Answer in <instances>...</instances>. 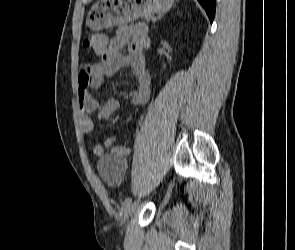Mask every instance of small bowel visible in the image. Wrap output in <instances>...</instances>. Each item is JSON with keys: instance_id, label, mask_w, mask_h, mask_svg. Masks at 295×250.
Masks as SVG:
<instances>
[{"instance_id": "small-bowel-1", "label": "small bowel", "mask_w": 295, "mask_h": 250, "mask_svg": "<svg viewBox=\"0 0 295 250\" xmlns=\"http://www.w3.org/2000/svg\"><path fill=\"white\" fill-rule=\"evenodd\" d=\"M104 47L97 51L101 57L98 63L83 62L80 65L78 77V99L80 108L81 125L84 133L90 134L94 129L91 115L94 113L100 119H109L120 107L114 98L100 101L90 91L97 89L103 83L106 76L121 69H129L136 79V85L131 91V102L135 106L144 105L150 96L151 77L147 72L143 51L149 44L145 27L131 25L119 28L115 35L107 41L105 37ZM128 45L127 54L122 49ZM104 146L112 148L119 155H126L129 150L126 147L116 146L115 138L109 137ZM92 152L95 156L103 154L101 145H94Z\"/></svg>"}]
</instances>
